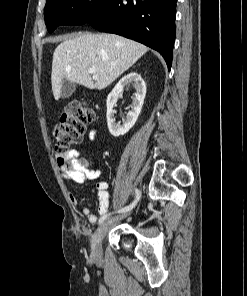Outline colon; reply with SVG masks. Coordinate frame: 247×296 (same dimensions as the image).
<instances>
[{
	"label": "colon",
	"instance_id": "colon-1",
	"mask_svg": "<svg viewBox=\"0 0 247 296\" xmlns=\"http://www.w3.org/2000/svg\"><path fill=\"white\" fill-rule=\"evenodd\" d=\"M94 120V111L82 101L73 100L65 106L54 133L55 151L59 154L60 163L67 168H71L72 164L64 158V155L81 141L87 125ZM80 163L84 165L82 161Z\"/></svg>",
	"mask_w": 247,
	"mask_h": 296
}]
</instances>
